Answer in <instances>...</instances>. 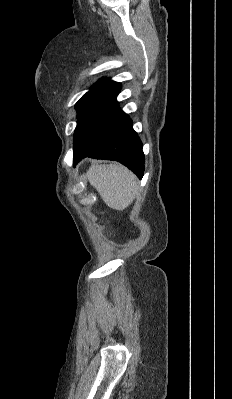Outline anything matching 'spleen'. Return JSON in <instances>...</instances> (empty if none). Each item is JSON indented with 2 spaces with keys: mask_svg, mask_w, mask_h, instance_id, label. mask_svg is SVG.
Listing matches in <instances>:
<instances>
[{
  "mask_svg": "<svg viewBox=\"0 0 232 399\" xmlns=\"http://www.w3.org/2000/svg\"><path fill=\"white\" fill-rule=\"evenodd\" d=\"M87 178L99 192L102 200L113 209H125L138 192V180L130 170L121 164L91 166Z\"/></svg>",
  "mask_w": 232,
  "mask_h": 399,
  "instance_id": "3e777b00",
  "label": "spleen"
}]
</instances>
